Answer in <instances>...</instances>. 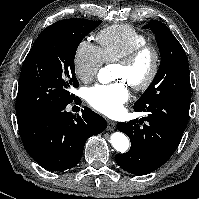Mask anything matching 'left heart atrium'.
I'll return each instance as SVG.
<instances>
[{"label": "left heart atrium", "instance_id": "left-heart-atrium-1", "mask_svg": "<svg viewBox=\"0 0 199 199\" xmlns=\"http://www.w3.org/2000/svg\"><path fill=\"white\" fill-rule=\"evenodd\" d=\"M128 99L129 90L124 80L113 84L96 85L87 92L88 103L100 113L111 117L122 113Z\"/></svg>", "mask_w": 199, "mask_h": 199}]
</instances>
